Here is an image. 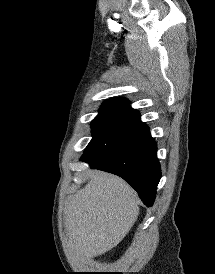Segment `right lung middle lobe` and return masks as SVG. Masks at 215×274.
Returning <instances> with one entry per match:
<instances>
[{
	"instance_id": "dd1d6c3e",
	"label": "right lung middle lobe",
	"mask_w": 215,
	"mask_h": 274,
	"mask_svg": "<svg viewBox=\"0 0 215 274\" xmlns=\"http://www.w3.org/2000/svg\"><path fill=\"white\" fill-rule=\"evenodd\" d=\"M92 140L81 159L108 164L129 149L146 131L138 111L104 103L91 123Z\"/></svg>"
}]
</instances>
